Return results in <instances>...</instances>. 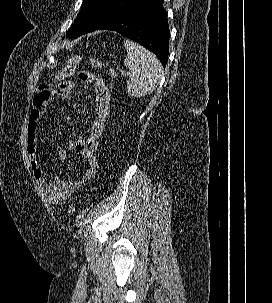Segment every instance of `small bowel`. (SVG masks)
Instances as JSON below:
<instances>
[{"label":"small bowel","instance_id":"1","mask_svg":"<svg viewBox=\"0 0 272 303\" xmlns=\"http://www.w3.org/2000/svg\"><path fill=\"white\" fill-rule=\"evenodd\" d=\"M79 79L92 84L94 87L95 114L87 137L85 139L69 140L64 147L57 151L56 156L59 160L66 161L70 158L68 150H72L77 156L81 157L86 163V168L81 178L71 179L56 176L52 181H47L37 154L38 128L42 115L55 95L65 99L72 98L75 87L74 81H63L54 88H51L50 85L40 86L33 99L26 129V150L32 174L48 202L58 207L64 206L74 191L83 188L95 177L99 169L97 157L99 139L110 114V92L104 79L95 73L87 71L81 72Z\"/></svg>","mask_w":272,"mask_h":303}]
</instances>
